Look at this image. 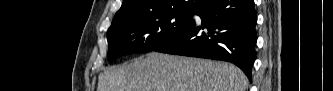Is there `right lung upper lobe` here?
Masks as SVG:
<instances>
[{
    "label": "right lung upper lobe",
    "instance_id": "right-lung-upper-lobe-1",
    "mask_svg": "<svg viewBox=\"0 0 333 91\" xmlns=\"http://www.w3.org/2000/svg\"><path fill=\"white\" fill-rule=\"evenodd\" d=\"M208 0H124L112 24L161 12H196Z\"/></svg>",
    "mask_w": 333,
    "mask_h": 91
}]
</instances>
